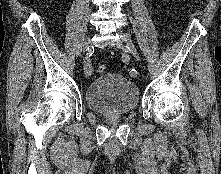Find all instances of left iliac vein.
<instances>
[{
    "label": "left iliac vein",
    "mask_w": 221,
    "mask_h": 174,
    "mask_svg": "<svg viewBox=\"0 0 221 174\" xmlns=\"http://www.w3.org/2000/svg\"><path fill=\"white\" fill-rule=\"evenodd\" d=\"M123 41L126 45V47L129 49L130 53L137 59L140 60L139 54L137 52V49L135 45L133 44L130 36L126 33H122Z\"/></svg>",
    "instance_id": "obj_1"
}]
</instances>
